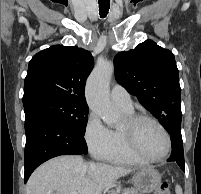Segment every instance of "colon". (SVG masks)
Listing matches in <instances>:
<instances>
[{
    "mask_svg": "<svg viewBox=\"0 0 201 194\" xmlns=\"http://www.w3.org/2000/svg\"><path fill=\"white\" fill-rule=\"evenodd\" d=\"M155 194H171L167 183H162L156 190Z\"/></svg>",
    "mask_w": 201,
    "mask_h": 194,
    "instance_id": "obj_1",
    "label": "colon"
}]
</instances>
